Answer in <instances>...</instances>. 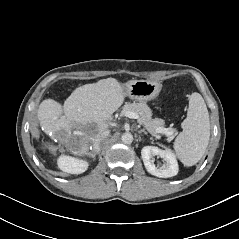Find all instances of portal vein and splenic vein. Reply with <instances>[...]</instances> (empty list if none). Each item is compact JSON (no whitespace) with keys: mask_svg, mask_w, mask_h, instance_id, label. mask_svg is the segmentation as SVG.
<instances>
[{"mask_svg":"<svg viewBox=\"0 0 239 239\" xmlns=\"http://www.w3.org/2000/svg\"><path fill=\"white\" fill-rule=\"evenodd\" d=\"M124 115L126 116V117H129V118H132V119H139V115L137 114V113H135V112H131V111H126L125 113H124ZM157 133H163V134H166L167 136H171V135H173V133L175 132V133H177V131L176 130H170V129H165V128H157ZM157 137V136H156Z\"/></svg>","mask_w":239,"mask_h":239,"instance_id":"1","label":"portal vein and splenic vein"}]
</instances>
